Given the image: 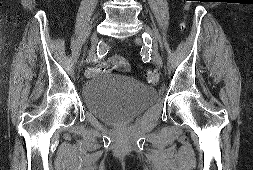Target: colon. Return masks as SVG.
<instances>
[{
    "mask_svg": "<svg viewBox=\"0 0 253 170\" xmlns=\"http://www.w3.org/2000/svg\"><path fill=\"white\" fill-rule=\"evenodd\" d=\"M189 9V4L186 5V10ZM128 63L124 58L119 57L115 61L103 62L99 65V69L101 70H110V69H119V70H127ZM146 80L149 83H156L159 80V74L156 70H148L146 72Z\"/></svg>",
    "mask_w": 253,
    "mask_h": 170,
    "instance_id": "obj_1",
    "label": "colon"
}]
</instances>
